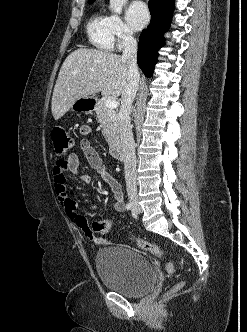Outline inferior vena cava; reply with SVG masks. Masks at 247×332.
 Instances as JSON below:
<instances>
[{
    "mask_svg": "<svg viewBox=\"0 0 247 332\" xmlns=\"http://www.w3.org/2000/svg\"><path fill=\"white\" fill-rule=\"evenodd\" d=\"M122 59L129 67V81L122 94L121 106L118 113L120 138L124 157L125 181L128 197L137 199L136 154L133 133L130 125L131 107L139 84V69L137 65V41L133 33L129 32L124 39Z\"/></svg>",
    "mask_w": 247,
    "mask_h": 332,
    "instance_id": "1",
    "label": "inferior vena cava"
}]
</instances>
